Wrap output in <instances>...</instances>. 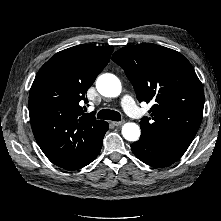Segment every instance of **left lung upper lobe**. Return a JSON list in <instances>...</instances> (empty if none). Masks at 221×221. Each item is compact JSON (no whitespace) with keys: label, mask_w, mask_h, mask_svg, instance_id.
Returning <instances> with one entry per match:
<instances>
[{"label":"left lung upper lobe","mask_w":221,"mask_h":221,"mask_svg":"<svg viewBox=\"0 0 221 221\" xmlns=\"http://www.w3.org/2000/svg\"><path fill=\"white\" fill-rule=\"evenodd\" d=\"M112 60L131 81L139 102H152L141 132L190 145L203 117L204 91L190 62L179 52L155 45H131Z\"/></svg>","instance_id":"left-lung-upper-lobe-1"}]
</instances>
